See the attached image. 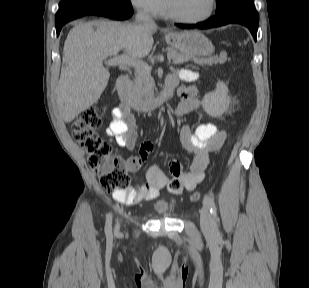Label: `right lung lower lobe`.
Segmentation results:
<instances>
[{
  "mask_svg": "<svg viewBox=\"0 0 309 288\" xmlns=\"http://www.w3.org/2000/svg\"><path fill=\"white\" fill-rule=\"evenodd\" d=\"M132 12V7L127 5L105 2L88 4L70 12L65 17L55 22L57 36L65 23L82 16L98 15L116 20H125L131 17Z\"/></svg>",
  "mask_w": 309,
  "mask_h": 288,
  "instance_id": "98d812e1",
  "label": "right lung lower lobe"
}]
</instances>
